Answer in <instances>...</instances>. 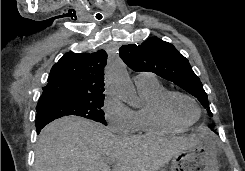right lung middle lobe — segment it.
<instances>
[{
	"label": "right lung middle lobe",
	"mask_w": 245,
	"mask_h": 171,
	"mask_svg": "<svg viewBox=\"0 0 245 171\" xmlns=\"http://www.w3.org/2000/svg\"><path fill=\"white\" fill-rule=\"evenodd\" d=\"M104 94L93 97L52 98L37 104V114L51 118L77 115L107 125L102 110Z\"/></svg>",
	"instance_id": "dd1d6c3e"
}]
</instances>
